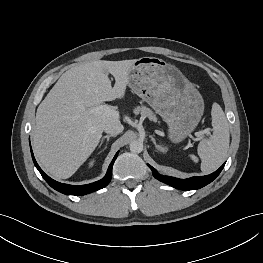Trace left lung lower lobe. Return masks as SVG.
Returning a JSON list of instances; mask_svg holds the SVG:
<instances>
[{
  "mask_svg": "<svg viewBox=\"0 0 263 263\" xmlns=\"http://www.w3.org/2000/svg\"><path fill=\"white\" fill-rule=\"evenodd\" d=\"M225 163L214 173L206 176H199V177H191L188 179H178L174 177L169 176H163L159 175L155 168L148 165L151 170L153 171V176L158 179L159 181L166 183L174 188L180 189V190H196L199 188H202L212 182L222 171Z\"/></svg>",
  "mask_w": 263,
  "mask_h": 263,
  "instance_id": "0a47b994",
  "label": "left lung lower lobe"
}]
</instances>
